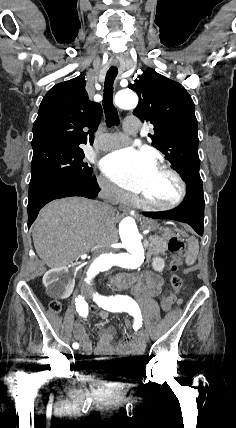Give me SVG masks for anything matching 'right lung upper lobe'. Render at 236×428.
Returning <instances> with one entry per match:
<instances>
[{
	"mask_svg": "<svg viewBox=\"0 0 236 428\" xmlns=\"http://www.w3.org/2000/svg\"><path fill=\"white\" fill-rule=\"evenodd\" d=\"M84 75L59 83L44 96L33 126L32 148L93 142L102 115L99 103L91 102ZM90 130L84 132L83 128Z\"/></svg>",
	"mask_w": 236,
	"mask_h": 428,
	"instance_id": "cb5924a9",
	"label": "right lung upper lobe"
}]
</instances>
